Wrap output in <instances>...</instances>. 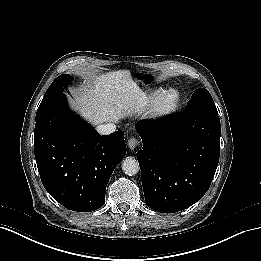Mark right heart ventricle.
<instances>
[{"label":"right heart ventricle","mask_w":261,"mask_h":261,"mask_svg":"<svg viewBox=\"0 0 261 261\" xmlns=\"http://www.w3.org/2000/svg\"><path fill=\"white\" fill-rule=\"evenodd\" d=\"M146 103H148V101H146ZM144 105L141 106V108H143Z\"/></svg>","instance_id":"right-heart-ventricle-1"}]
</instances>
